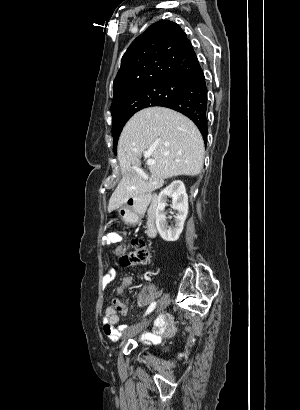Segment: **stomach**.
I'll list each match as a JSON object with an SVG mask.
<instances>
[{
    "label": "stomach",
    "instance_id": "stomach-1",
    "mask_svg": "<svg viewBox=\"0 0 300 410\" xmlns=\"http://www.w3.org/2000/svg\"><path fill=\"white\" fill-rule=\"evenodd\" d=\"M131 213V211L129 210V209H127V208H121L120 210H119V214L121 215V216H126V215H129Z\"/></svg>",
    "mask_w": 300,
    "mask_h": 410
}]
</instances>
